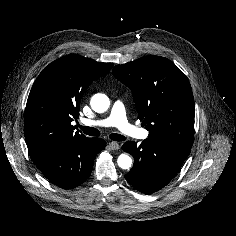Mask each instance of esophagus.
<instances>
[{"mask_svg":"<svg viewBox=\"0 0 236 236\" xmlns=\"http://www.w3.org/2000/svg\"><path fill=\"white\" fill-rule=\"evenodd\" d=\"M109 147L111 150H118L120 148V145L117 142H110Z\"/></svg>","mask_w":236,"mask_h":236,"instance_id":"esophagus-1","label":"esophagus"}]
</instances>
